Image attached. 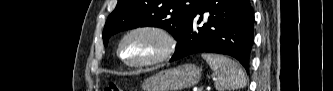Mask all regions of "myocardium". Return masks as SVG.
<instances>
[{
  "label": "myocardium",
  "instance_id": "obj_1",
  "mask_svg": "<svg viewBox=\"0 0 333 91\" xmlns=\"http://www.w3.org/2000/svg\"><path fill=\"white\" fill-rule=\"evenodd\" d=\"M138 33H145L155 36L161 43V50L158 55L152 58L137 62H130L127 61L123 55V47L126 40L129 37ZM176 46H177V40L174 34L170 30L162 26L146 24V25L135 26L130 30H128L123 35L118 44L117 54L125 65L132 68H142V67L156 65L168 60L173 56L176 50Z\"/></svg>",
  "mask_w": 333,
  "mask_h": 91
}]
</instances>
